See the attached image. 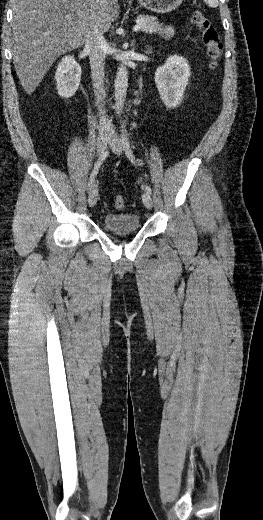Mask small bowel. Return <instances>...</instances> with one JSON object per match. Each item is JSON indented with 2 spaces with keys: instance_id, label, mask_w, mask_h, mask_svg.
<instances>
[{
  "instance_id": "1",
  "label": "small bowel",
  "mask_w": 263,
  "mask_h": 520,
  "mask_svg": "<svg viewBox=\"0 0 263 520\" xmlns=\"http://www.w3.org/2000/svg\"><path fill=\"white\" fill-rule=\"evenodd\" d=\"M164 33H165L167 36H169V35L172 34V29H171V28H166V29L164 30Z\"/></svg>"
}]
</instances>
